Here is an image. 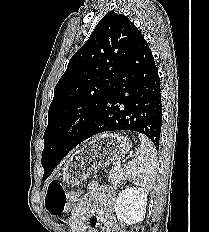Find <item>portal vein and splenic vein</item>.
I'll return each instance as SVG.
<instances>
[{"instance_id":"portal-vein-and-splenic-vein-1","label":"portal vein and splenic vein","mask_w":209,"mask_h":232,"mask_svg":"<svg viewBox=\"0 0 209 232\" xmlns=\"http://www.w3.org/2000/svg\"><path fill=\"white\" fill-rule=\"evenodd\" d=\"M123 162H124V160H123ZM120 166H121V162L119 161V162H117V164L115 165L114 169L120 168Z\"/></svg>"}]
</instances>
